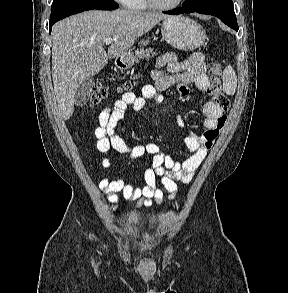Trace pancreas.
Returning a JSON list of instances; mask_svg holds the SVG:
<instances>
[{"label":"pancreas","instance_id":"1","mask_svg":"<svg viewBox=\"0 0 288 293\" xmlns=\"http://www.w3.org/2000/svg\"><path fill=\"white\" fill-rule=\"evenodd\" d=\"M151 54H152V56L156 55V53L153 52V50L151 48L147 49V50L137 49L135 51V60L138 61V60H141L144 58H149V57H151Z\"/></svg>","mask_w":288,"mask_h":293}]
</instances>
